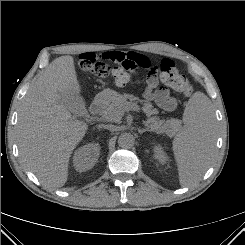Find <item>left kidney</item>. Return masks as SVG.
I'll use <instances>...</instances> for the list:
<instances>
[{
    "label": "left kidney",
    "instance_id": "obj_1",
    "mask_svg": "<svg viewBox=\"0 0 245 245\" xmlns=\"http://www.w3.org/2000/svg\"><path fill=\"white\" fill-rule=\"evenodd\" d=\"M154 157L160 163H165L167 161V159H168L161 146H156L154 148Z\"/></svg>",
    "mask_w": 245,
    "mask_h": 245
}]
</instances>
